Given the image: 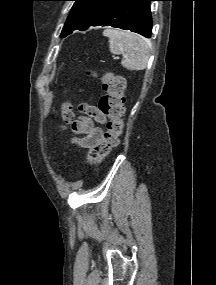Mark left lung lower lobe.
<instances>
[{"label": "left lung lower lobe", "mask_w": 216, "mask_h": 285, "mask_svg": "<svg viewBox=\"0 0 216 285\" xmlns=\"http://www.w3.org/2000/svg\"><path fill=\"white\" fill-rule=\"evenodd\" d=\"M150 1L155 0H114L89 27L112 26L150 38L152 30Z\"/></svg>", "instance_id": "left-lung-lower-lobe-1"}]
</instances>
